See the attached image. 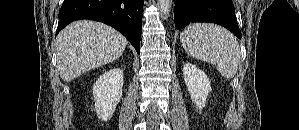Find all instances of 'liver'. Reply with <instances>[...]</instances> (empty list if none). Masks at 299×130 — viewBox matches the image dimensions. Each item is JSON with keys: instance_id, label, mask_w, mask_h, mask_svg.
Here are the masks:
<instances>
[{"instance_id": "obj_1", "label": "liver", "mask_w": 299, "mask_h": 130, "mask_svg": "<svg viewBox=\"0 0 299 130\" xmlns=\"http://www.w3.org/2000/svg\"><path fill=\"white\" fill-rule=\"evenodd\" d=\"M127 44L128 40L110 26L89 20L73 22L56 39L60 77L70 82L113 62L123 54Z\"/></svg>"}]
</instances>
